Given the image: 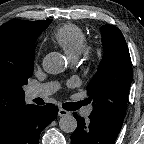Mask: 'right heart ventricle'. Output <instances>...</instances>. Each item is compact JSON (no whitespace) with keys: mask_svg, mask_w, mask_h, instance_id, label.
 <instances>
[{"mask_svg":"<svg viewBox=\"0 0 144 144\" xmlns=\"http://www.w3.org/2000/svg\"><path fill=\"white\" fill-rule=\"evenodd\" d=\"M51 38L70 58H76L86 44L84 31L79 26L71 23L57 27L52 32Z\"/></svg>","mask_w":144,"mask_h":144,"instance_id":"e07e8e85","label":"right heart ventricle"}]
</instances>
